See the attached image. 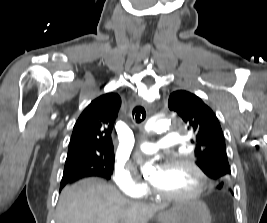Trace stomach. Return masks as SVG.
Returning <instances> with one entry per match:
<instances>
[{
    "mask_svg": "<svg viewBox=\"0 0 267 223\" xmlns=\"http://www.w3.org/2000/svg\"><path fill=\"white\" fill-rule=\"evenodd\" d=\"M161 223H211L207 205L197 199L183 200L158 215Z\"/></svg>",
    "mask_w": 267,
    "mask_h": 223,
    "instance_id": "stomach-1",
    "label": "stomach"
}]
</instances>
